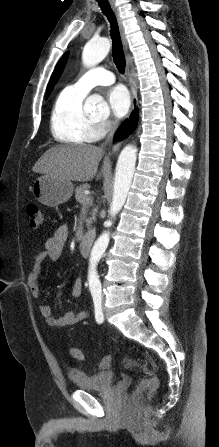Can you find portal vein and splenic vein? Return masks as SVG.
Returning <instances> with one entry per match:
<instances>
[{
  "label": "portal vein and splenic vein",
  "instance_id": "18ae733b",
  "mask_svg": "<svg viewBox=\"0 0 219 447\" xmlns=\"http://www.w3.org/2000/svg\"><path fill=\"white\" fill-rule=\"evenodd\" d=\"M90 200H91L90 198L85 199L86 202H89Z\"/></svg>",
  "mask_w": 219,
  "mask_h": 447
}]
</instances>
